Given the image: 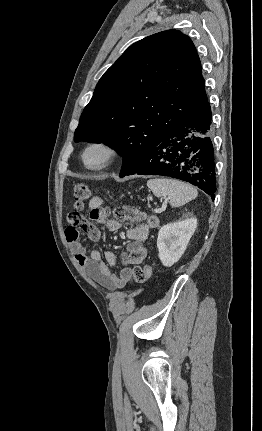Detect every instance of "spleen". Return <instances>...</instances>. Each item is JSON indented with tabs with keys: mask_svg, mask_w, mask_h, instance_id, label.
I'll list each match as a JSON object with an SVG mask.
<instances>
[{
	"mask_svg": "<svg viewBox=\"0 0 262 431\" xmlns=\"http://www.w3.org/2000/svg\"><path fill=\"white\" fill-rule=\"evenodd\" d=\"M147 186L155 196L168 198L174 207L182 206L198 195L192 185L175 179L153 178L147 181Z\"/></svg>",
	"mask_w": 262,
	"mask_h": 431,
	"instance_id": "1",
	"label": "spleen"
}]
</instances>
